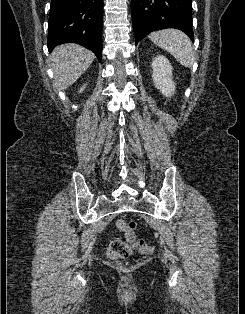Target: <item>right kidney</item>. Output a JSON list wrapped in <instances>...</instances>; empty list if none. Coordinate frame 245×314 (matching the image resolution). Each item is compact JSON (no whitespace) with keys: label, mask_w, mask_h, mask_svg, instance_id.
I'll return each instance as SVG.
<instances>
[{"label":"right kidney","mask_w":245,"mask_h":314,"mask_svg":"<svg viewBox=\"0 0 245 314\" xmlns=\"http://www.w3.org/2000/svg\"><path fill=\"white\" fill-rule=\"evenodd\" d=\"M85 89V85L80 89V93Z\"/></svg>","instance_id":"right-kidney-1"}]
</instances>
